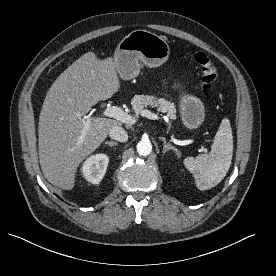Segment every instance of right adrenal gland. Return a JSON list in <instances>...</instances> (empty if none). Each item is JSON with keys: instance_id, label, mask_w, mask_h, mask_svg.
I'll return each mask as SVG.
<instances>
[{"instance_id": "1", "label": "right adrenal gland", "mask_w": 276, "mask_h": 276, "mask_svg": "<svg viewBox=\"0 0 276 276\" xmlns=\"http://www.w3.org/2000/svg\"><path fill=\"white\" fill-rule=\"evenodd\" d=\"M105 144L113 147V146H117V143L116 142H112V141H106Z\"/></svg>"}]
</instances>
